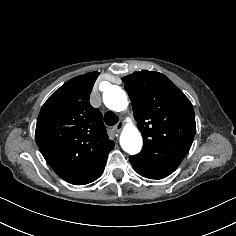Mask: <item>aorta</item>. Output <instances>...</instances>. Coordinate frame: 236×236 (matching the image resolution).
<instances>
[{
	"mask_svg": "<svg viewBox=\"0 0 236 236\" xmlns=\"http://www.w3.org/2000/svg\"><path fill=\"white\" fill-rule=\"evenodd\" d=\"M103 102L109 109L121 112L127 109L128 97L121 87L110 85L103 93ZM120 144L130 155L139 153L143 145L139 130L132 124H127L121 133Z\"/></svg>",
	"mask_w": 236,
	"mask_h": 236,
	"instance_id": "aorta-1",
	"label": "aorta"
}]
</instances>
